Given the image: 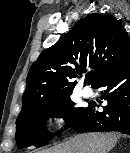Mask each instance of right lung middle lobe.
I'll use <instances>...</instances> for the list:
<instances>
[{
    "label": "right lung middle lobe",
    "mask_w": 130,
    "mask_h": 153,
    "mask_svg": "<svg viewBox=\"0 0 130 153\" xmlns=\"http://www.w3.org/2000/svg\"><path fill=\"white\" fill-rule=\"evenodd\" d=\"M84 108L75 107L70 95L36 106L20 115L16 121V141L19 148L31 145L39 147L49 141L56 134L46 130V121L50 116L63 115L67 129L81 114Z\"/></svg>",
    "instance_id": "dd1d6c3e"
}]
</instances>
